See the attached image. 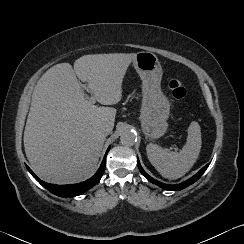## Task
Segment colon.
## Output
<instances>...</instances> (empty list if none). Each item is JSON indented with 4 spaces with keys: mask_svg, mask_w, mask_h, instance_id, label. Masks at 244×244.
I'll list each match as a JSON object with an SVG mask.
<instances>
[{
    "mask_svg": "<svg viewBox=\"0 0 244 244\" xmlns=\"http://www.w3.org/2000/svg\"><path fill=\"white\" fill-rule=\"evenodd\" d=\"M169 89L174 99L181 103L188 102V91L180 78H174L169 82Z\"/></svg>",
    "mask_w": 244,
    "mask_h": 244,
    "instance_id": "obj_1",
    "label": "colon"
}]
</instances>
